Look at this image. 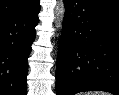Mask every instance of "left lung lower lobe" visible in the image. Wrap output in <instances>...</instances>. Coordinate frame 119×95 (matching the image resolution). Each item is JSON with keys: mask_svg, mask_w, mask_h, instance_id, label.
Listing matches in <instances>:
<instances>
[{"mask_svg": "<svg viewBox=\"0 0 119 95\" xmlns=\"http://www.w3.org/2000/svg\"><path fill=\"white\" fill-rule=\"evenodd\" d=\"M56 95L106 91L119 95V7L64 0Z\"/></svg>", "mask_w": 119, "mask_h": 95, "instance_id": "left-lung-lower-lobe-1", "label": "left lung lower lobe"}]
</instances>
